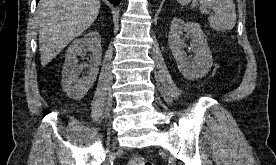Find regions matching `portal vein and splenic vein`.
<instances>
[{"mask_svg":"<svg viewBox=\"0 0 276 165\" xmlns=\"http://www.w3.org/2000/svg\"><path fill=\"white\" fill-rule=\"evenodd\" d=\"M200 10H201V12H203V13H209V12H210L209 10H207V9L204 8V7H200Z\"/></svg>","mask_w":276,"mask_h":165,"instance_id":"1","label":"portal vein and splenic vein"}]
</instances>
